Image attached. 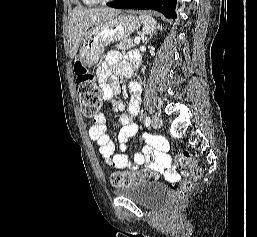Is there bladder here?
Here are the masks:
<instances>
[{
    "instance_id": "bladder-1",
    "label": "bladder",
    "mask_w": 257,
    "mask_h": 237,
    "mask_svg": "<svg viewBox=\"0 0 257 237\" xmlns=\"http://www.w3.org/2000/svg\"><path fill=\"white\" fill-rule=\"evenodd\" d=\"M114 195L129 198L140 206L155 209L168 200V191L157 181H142L113 190Z\"/></svg>"
}]
</instances>
